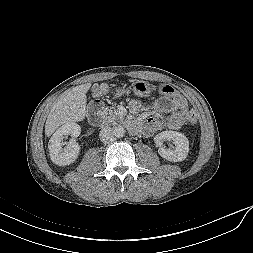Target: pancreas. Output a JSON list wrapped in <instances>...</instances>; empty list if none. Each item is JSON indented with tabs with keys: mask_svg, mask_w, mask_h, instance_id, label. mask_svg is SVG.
I'll use <instances>...</instances> for the list:
<instances>
[{
	"mask_svg": "<svg viewBox=\"0 0 253 253\" xmlns=\"http://www.w3.org/2000/svg\"><path fill=\"white\" fill-rule=\"evenodd\" d=\"M101 117L105 125H115L117 121L121 120V117L117 115L116 111L109 108H104L101 112Z\"/></svg>",
	"mask_w": 253,
	"mask_h": 253,
	"instance_id": "obj_1",
	"label": "pancreas"
}]
</instances>
